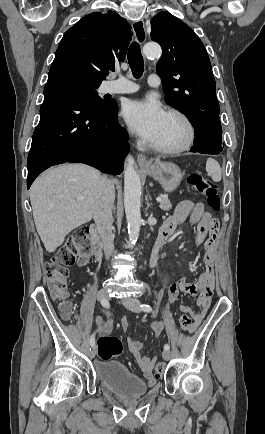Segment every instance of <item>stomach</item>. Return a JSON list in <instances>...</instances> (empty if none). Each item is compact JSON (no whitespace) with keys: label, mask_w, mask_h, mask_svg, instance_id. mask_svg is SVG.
<instances>
[{"label":"stomach","mask_w":265,"mask_h":434,"mask_svg":"<svg viewBox=\"0 0 265 434\" xmlns=\"http://www.w3.org/2000/svg\"><path fill=\"white\" fill-rule=\"evenodd\" d=\"M150 168H141L147 176H151L154 180L160 182L165 192H174L178 188L182 174L180 168L171 162H155L149 164Z\"/></svg>","instance_id":"obj_1"}]
</instances>
